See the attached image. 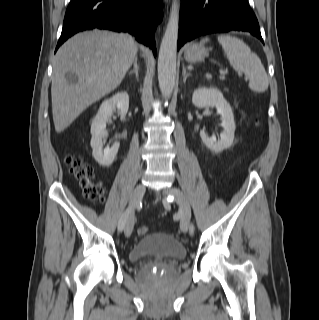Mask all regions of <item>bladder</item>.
Segmentation results:
<instances>
[{
    "label": "bladder",
    "mask_w": 319,
    "mask_h": 320,
    "mask_svg": "<svg viewBox=\"0 0 319 320\" xmlns=\"http://www.w3.org/2000/svg\"><path fill=\"white\" fill-rule=\"evenodd\" d=\"M157 254L172 260H180L186 256V248L163 232H150L139 239L130 253L132 262Z\"/></svg>",
    "instance_id": "obj_1"
}]
</instances>
